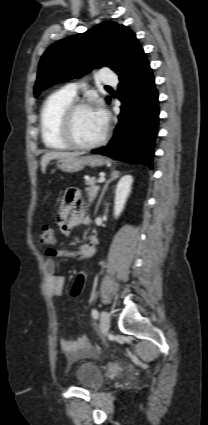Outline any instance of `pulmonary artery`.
<instances>
[{
	"label": "pulmonary artery",
	"mask_w": 208,
	"mask_h": 425,
	"mask_svg": "<svg viewBox=\"0 0 208 425\" xmlns=\"http://www.w3.org/2000/svg\"><path fill=\"white\" fill-rule=\"evenodd\" d=\"M99 76H100L101 82L105 85H116L118 83V78L116 74L110 71L109 69H106V68L101 69ZM78 87L79 86L77 84L71 83L66 85L62 91L66 95L72 98H75L77 96Z\"/></svg>",
	"instance_id": "obj_1"
}]
</instances>
